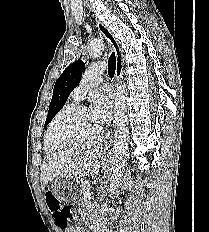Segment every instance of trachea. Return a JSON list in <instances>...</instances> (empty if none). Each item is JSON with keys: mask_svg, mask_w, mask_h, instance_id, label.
<instances>
[{"mask_svg": "<svg viewBox=\"0 0 209 232\" xmlns=\"http://www.w3.org/2000/svg\"><path fill=\"white\" fill-rule=\"evenodd\" d=\"M115 70H116V57H115V53L112 52L108 61V75L110 77H114Z\"/></svg>", "mask_w": 209, "mask_h": 232, "instance_id": "3493384b", "label": "trachea"}]
</instances>
